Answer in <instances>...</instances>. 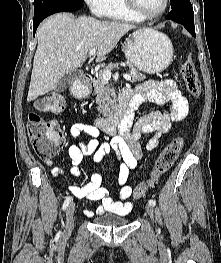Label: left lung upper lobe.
I'll return each mask as SVG.
<instances>
[{
    "label": "left lung upper lobe",
    "mask_w": 221,
    "mask_h": 263,
    "mask_svg": "<svg viewBox=\"0 0 221 263\" xmlns=\"http://www.w3.org/2000/svg\"><path fill=\"white\" fill-rule=\"evenodd\" d=\"M171 1V7L175 8V7H179L182 5H186L190 3V0H170Z\"/></svg>",
    "instance_id": "left-lung-upper-lobe-1"
}]
</instances>
